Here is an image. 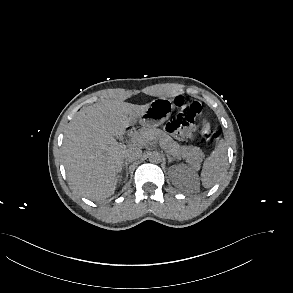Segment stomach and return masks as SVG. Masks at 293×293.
Returning a JSON list of instances; mask_svg holds the SVG:
<instances>
[{
  "mask_svg": "<svg viewBox=\"0 0 293 293\" xmlns=\"http://www.w3.org/2000/svg\"><path fill=\"white\" fill-rule=\"evenodd\" d=\"M173 109L174 104L171 99L164 97L155 99L139 118V122L144 128L158 127L169 118Z\"/></svg>",
  "mask_w": 293,
  "mask_h": 293,
  "instance_id": "obj_1",
  "label": "stomach"
}]
</instances>
